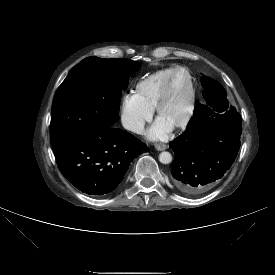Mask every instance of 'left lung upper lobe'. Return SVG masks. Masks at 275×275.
<instances>
[{
  "label": "left lung upper lobe",
  "instance_id": "5c2ea615",
  "mask_svg": "<svg viewBox=\"0 0 275 275\" xmlns=\"http://www.w3.org/2000/svg\"><path fill=\"white\" fill-rule=\"evenodd\" d=\"M202 86L206 104L195 106L194 115L187 125V130L209 123H216L233 131L242 132L240 114L235 107L228 105L226 91L222 85L211 78L203 77Z\"/></svg>",
  "mask_w": 275,
  "mask_h": 275
}]
</instances>
